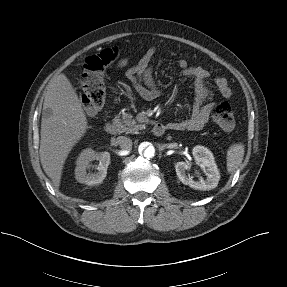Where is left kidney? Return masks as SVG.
Instances as JSON below:
<instances>
[{"instance_id": "obj_1", "label": "left kidney", "mask_w": 287, "mask_h": 287, "mask_svg": "<svg viewBox=\"0 0 287 287\" xmlns=\"http://www.w3.org/2000/svg\"><path fill=\"white\" fill-rule=\"evenodd\" d=\"M192 154L195 162L202 168H206L207 178L194 181L192 176L186 174V170L190 168L189 163L181 161L175 164L176 174L180 181L195 190L206 191L216 188L220 180V173L212 152L204 146L197 145L193 148Z\"/></svg>"}]
</instances>
